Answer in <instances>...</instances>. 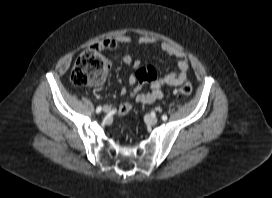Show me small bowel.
I'll return each mask as SVG.
<instances>
[{
	"label": "small bowel",
	"instance_id": "c3829d8e",
	"mask_svg": "<svg viewBox=\"0 0 272 198\" xmlns=\"http://www.w3.org/2000/svg\"><path fill=\"white\" fill-rule=\"evenodd\" d=\"M155 42V39L151 37H140L135 39L131 36H118L114 39H104L95 44L94 48L99 51L114 50L119 46L129 45L132 43L138 45H153ZM160 48L167 55L176 58V71L167 73L163 76H158L156 73L153 76L140 77L138 75V70L140 69L141 65L140 61L132 58L130 55L122 56V61L133 70L128 77V84L131 87L130 96L138 103L151 104L163 98V87L177 86L187 82V72L189 66L185 59L184 53L168 43H162ZM145 82L149 83L150 90L146 93H141V85ZM126 93L127 89L123 88L121 90V94L125 95ZM130 109V101L126 100L120 105L118 111L120 114H122L121 111H123V114H126L130 111Z\"/></svg>",
	"mask_w": 272,
	"mask_h": 198
}]
</instances>
